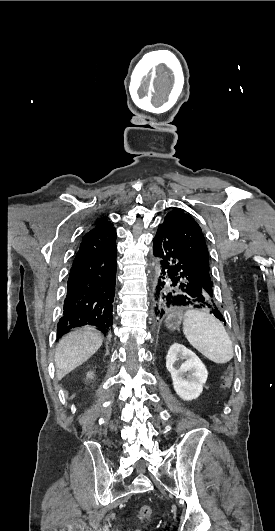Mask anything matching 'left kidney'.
Returning a JSON list of instances; mask_svg holds the SVG:
<instances>
[{
    "label": "left kidney",
    "instance_id": "1",
    "mask_svg": "<svg viewBox=\"0 0 275 531\" xmlns=\"http://www.w3.org/2000/svg\"><path fill=\"white\" fill-rule=\"evenodd\" d=\"M178 357L186 359L180 367L177 365ZM166 367L167 371L171 373L174 391L180 399L193 401L199 397L203 391V385L208 379V371L195 353L186 349L184 345L174 343L167 353Z\"/></svg>",
    "mask_w": 275,
    "mask_h": 531
}]
</instances>
